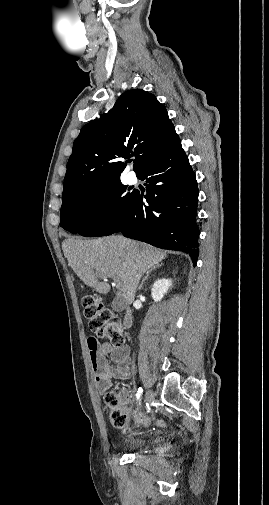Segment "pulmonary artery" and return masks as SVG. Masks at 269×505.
<instances>
[{
    "label": "pulmonary artery",
    "instance_id": "1",
    "mask_svg": "<svg viewBox=\"0 0 269 505\" xmlns=\"http://www.w3.org/2000/svg\"><path fill=\"white\" fill-rule=\"evenodd\" d=\"M127 181L130 183V184H134L136 183L137 179H136V176L133 172H130L127 174Z\"/></svg>",
    "mask_w": 269,
    "mask_h": 505
}]
</instances>
